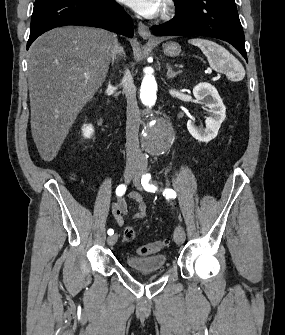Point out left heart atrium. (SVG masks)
I'll return each mask as SVG.
<instances>
[{
  "label": "left heart atrium",
  "mask_w": 285,
  "mask_h": 335,
  "mask_svg": "<svg viewBox=\"0 0 285 335\" xmlns=\"http://www.w3.org/2000/svg\"><path fill=\"white\" fill-rule=\"evenodd\" d=\"M132 10L147 16L153 17L158 14L159 5L158 1H120Z\"/></svg>",
  "instance_id": "left-heart-atrium-1"
}]
</instances>
